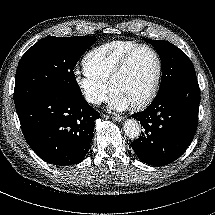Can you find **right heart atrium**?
Wrapping results in <instances>:
<instances>
[{
	"mask_svg": "<svg viewBox=\"0 0 215 215\" xmlns=\"http://www.w3.org/2000/svg\"><path fill=\"white\" fill-rule=\"evenodd\" d=\"M74 83L83 99L92 106L104 102L108 95V84L87 74L83 70L74 72Z\"/></svg>",
	"mask_w": 215,
	"mask_h": 215,
	"instance_id": "d8ad5b80",
	"label": "right heart atrium"
}]
</instances>
